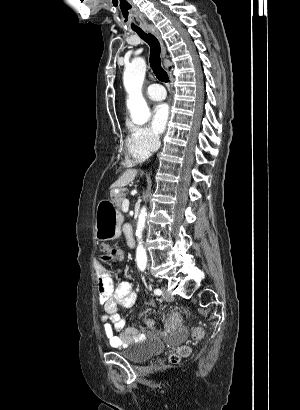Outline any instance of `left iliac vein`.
<instances>
[{
    "label": "left iliac vein",
    "instance_id": "obj_1",
    "mask_svg": "<svg viewBox=\"0 0 300 410\" xmlns=\"http://www.w3.org/2000/svg\"><path fill=\"white\" fill-rule=\"evenodd\" d=\"M162 290H163V299L165 300V301H172L173 300V297L170 295V293L168 292V290L164 287V288H162Z\"/></svg>",
    "mask_w": 300,
    "mask_h": 410
}]
</instances>
